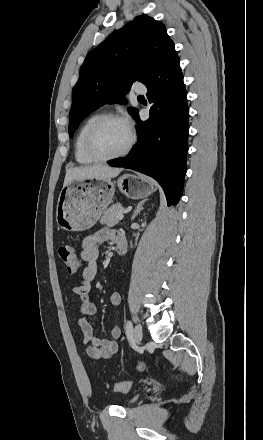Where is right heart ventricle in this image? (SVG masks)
I'll list each match as a JSON object with an SVG mask.
<instances>
[{
	"instance_id": "right-heart-ventricle-1",
	"label": "right heart ventricle",
	"mask_w": 263,
	"mask_h": 440,
	"mask_svg": "<svg viewBox=\"0 0 263 440\" xmlns=\"http://www.w3.org/2000/svg\"><path fill=\"white\" fill-rule=\"evenodd\" d=\"M102 116L101 113H94L88 116L84 122L81 124L80 128L78 129V132L75 137L74 142V156L78 163L80 164H91L95 162L94 159H92L85 150V138L87 135V132L91 125L100 117Z\"/></svg>"
}]
</instances>
